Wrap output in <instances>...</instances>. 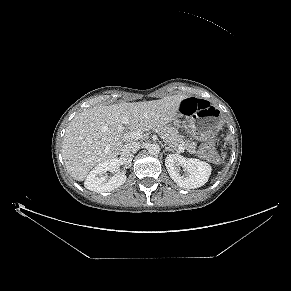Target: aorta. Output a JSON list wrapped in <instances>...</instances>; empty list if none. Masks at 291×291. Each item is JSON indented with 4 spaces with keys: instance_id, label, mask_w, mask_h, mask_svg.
<instances>
[{
    "instance_id": "aorta-1",
    "label": "aorta",
    "mask_w": 291,
    "mask_h": 291,
    "mask_svg": "<svg viewBox=\"0 0 291 291\" xmlns=\"http://www.w3.org/2000/svg\"><path fill=\"white\" fill-rule=\"evenodd\" d=\"M147 150H148L149 154L157 155V154L160 153L161 148H160V146L158 144L152 143V144L148 145Z\"/></svg>"
}]
</instances>
